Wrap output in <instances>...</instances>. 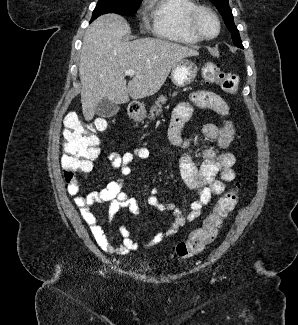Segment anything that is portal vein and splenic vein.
<instances>
[{
    "label": "portal vein and splenic vein",
    "mask_w": 298,
    "mask_h": 325,
    "mask_svg": "<svg viewBox=\"0 0 298 325\" xmlns=\"http://www.w3.org/2000/svg\"><path fill=\"white\" fill-rule=\"evenodd\" d=\"M125 74H128V76H133V74H135L134 68H128V70H125Z\"/></svg>",
    "instance_id": "obj_1"
}]
</instances>
